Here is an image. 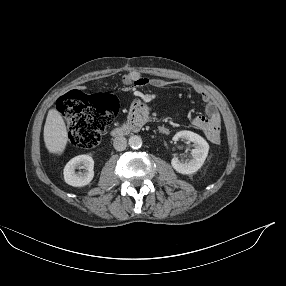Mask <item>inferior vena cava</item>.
Wrapping results in <instances>:
<instances>
[{
    "mask_svg": "<svg viewBox=\"0 0 286 286\" xmlns=\"http://www.w3.org/2000/svg\"><path fill=\"white\" fill-rule=\"evenodd\" d=\"M113 146L117 151H123L125 150L126 146H127V140L125 137L123 136H117L114 140H113Z\"/></svg>",
    "mask_w": 286,
    "mask_h": 286,
    "instance_id": "obj_1",
    "label": "inferior vena cava"
}]
</instances>
